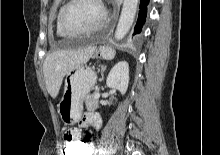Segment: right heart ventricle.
Here are the masks:
<instances>
[{"label":"right heart ventricle","instance_id":"obj_1","mask_svg":"<svg viewBox=\"0 0 220 155\" xmlns=\"http://www.w3.org/2000/svg\"><path fill=\"white\" fill-rule=\"evenodd\" d=\"M55 29H56V34L60 37H69L70 36V35L65 34L64 32H62L61 29L59 28V26H58V15H57L56 20H55Z\"/></svg>","mask_w":220,"mask_h":155}]
</instances>
